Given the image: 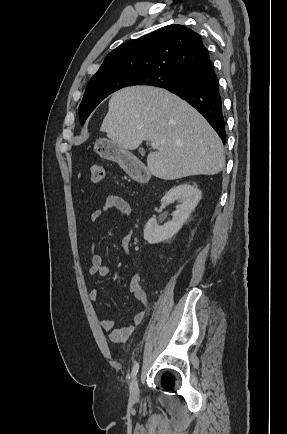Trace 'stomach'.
<instances>
[{"label": "stomach", "instance_id": "stomach-1", "mask_svg": "<svg viewBox=\"0 0 287 434\" xmlns=\"http://www.w3.org/2000/svg\"><path fill=\"white\" fill-rule=\"evenodd\" d=\"M94 150L100 157L116 162L124 168L128 166V162L133 158V155L128 150L103 138L96 141Z\"/></svg>", "mask_w": 287, "mask_h": 434}]
</instances>
